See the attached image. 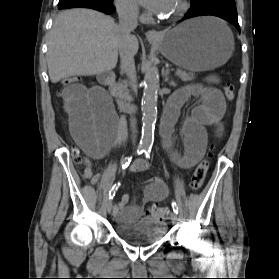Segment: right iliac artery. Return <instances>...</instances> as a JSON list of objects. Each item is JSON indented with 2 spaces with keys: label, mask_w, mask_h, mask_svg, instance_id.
<instances>
[{
  "label": "right iliac artery",
  "mask_w": 279,
  "mask_h": 279,
  "mask_svg": "<svg viewBox=\"0 0 279 279\" xmlns=\"http://www.w3.org/2000/svg\"><path fill=\"white\" fill-rule=\"evenodd\" d=\"M146 150V147L145 146H139L138 149H137V154L140 155L142 154L143 152H145ZM131 159H132V156L131 157H125L121 164H122V168L125 169L129 166L130 162H131ZM120 186V183H117L115 184L112 189L109 191V199L112 200L115 196V193L117 191V189L119 188Z\"/></svg>",
  "instance_id": "right-iliac-artery-1"
}]
</instances>
